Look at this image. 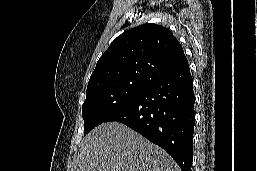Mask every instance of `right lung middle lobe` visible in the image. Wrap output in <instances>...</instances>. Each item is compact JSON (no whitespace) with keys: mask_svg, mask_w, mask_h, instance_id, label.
Returning <instances> with one entry per match:
<instances>
[{"mask_svg":"<svg viewBox=\"0 0 257 171\" xmlns=\"http://www.w3.org/2000/svg\"><path fill=\"white\" fill-rule=\"evenodd\" d=\"M148 85L143 83H114L86 91L82 105L85 135L114 112L122 108Z\"/></svg>","mask_w":257,"mask_h":171,"instance_id":"right-lung-middle-lobe-1","label":"right lung middle lobe"}]
</instances>
